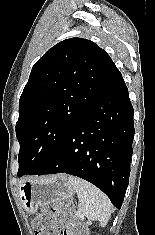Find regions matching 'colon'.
<instances>
[{"mask_svg": "<svg viewBox=\"0 0 155 235\" xmlns=\"http://www.w3.org/2000/svg\"><path fill=\"white\" fill-rule=\"evenodd\" d=\"M65 223L63 231L59 223ZM33 227L35 235H89L83 224L72 219V206L69 202L55 204L51 211L45 209L39 214Z\"/></svg>", "mask_w": 155, "mask_h": 235, "instance_id": "1", "label": "colon"}]
</instances>
